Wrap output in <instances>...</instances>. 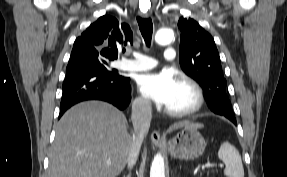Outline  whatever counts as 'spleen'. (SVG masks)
Here are the masks:
<instances>
[{"mask_svg":"<svg viewBox=\"0 0 287 177\" xmlns=\"http://www.w3.org/2000/svg\"><path fill=\"white\" fill-rule=\"evenodd\" d=\"M218 158L225 163L224 174L227 177H244V168L238 150L229 142L221 144Z\"/></svg>","mask_w":287,"mask_h":177,"instance_id":"obj_1","label":"spleen"}]
</instances>
